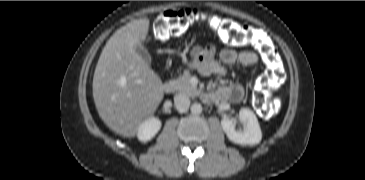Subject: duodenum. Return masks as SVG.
<instances>
[{
    "label": "duodenum",
    "mask_w": 365,
    "mask_h": 180,
    "mask_svg": "<svg viewBox=\"0 0 365 180\" xmlns=\"http://www.w3.org/2000/svg\"><path fill=\"white\" fill-rule=\"evenodd\" d=\"M176 89V84L174 81H166L163 84V90L167 93H172Z\"/></svg>",
    "instance_id": "410a0bca"
}]
</instances>
